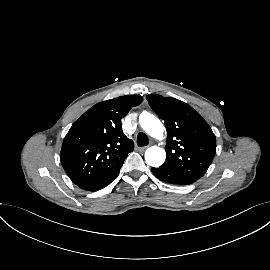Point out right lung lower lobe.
<instances>
[{
    "instance_id": "obj_1",
    "label": "right lung lower lobe",
    "mask_w": 270,
    "mask_h": 270,
    "mask_svg": "<svg viewBox=\"0 0 270 270\" xmlns=\"http://www.w3.org/2000/svg\"><path fill=\"white\" fill-rule=\"evenodd\" d=\"M118 174H119V171L112 175H109V176H106V177H103L94 181L86 182L78 186L87 191H96L109 185L118 176Z\"/></svg>"
}]
</instances>
